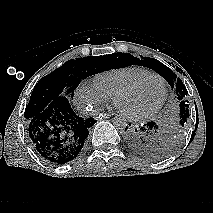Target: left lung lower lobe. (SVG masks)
I'll return each mask as SVG.
<instances>
[{"label":"left lung lower lobe","mask_w":213,"mask_h":213,"mask_svg":"<svg viewBox=\"0 0 213 213\" xmlns=\"http://www.w3.org/2000/svg\"><path fill=\"white\" fill-rule=\"evenodd\" d=\"M130 125V124H129ZM164 131L159 125L150 121L140 127L125 129V140L129 148L137 155L145 158L157 159L158 144Z\"/></svg>","instance_id":"obj_1"}]
</instances>
